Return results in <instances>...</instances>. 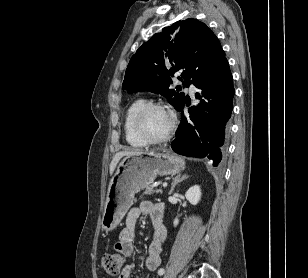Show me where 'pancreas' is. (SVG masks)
Segmentation results:
<instances>
[{
    "mask_svg": "<svg viewBox=\"0 0 308 278\" xmlns=\"http://www.w3.org/2000/svg\"><path fill=\"white\" fill-rule=\"evenodd\" d=\"M152 193H162L161 189L155 190L151 186L146 187V190L143 192L144 195Z\"/></svg>",
    "mask_w": 308,
    "mask_h": 278,
    "instance_id": "pancreas-1",
    "label": "pancreas"
}]
</instances>
